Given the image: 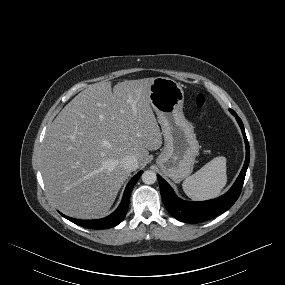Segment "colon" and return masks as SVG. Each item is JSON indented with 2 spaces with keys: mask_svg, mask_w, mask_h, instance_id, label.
I'll use <instances>...</instances> for the list:
<instances>
[{
  "mask_svg": "<svg viewBox=\"0 0 285 285\" xmlns=\"http://www.w3.org/2000/svg\"><path fill=\"white\" fill-rule=\"evenodd\" d=\"M206 104V97L203 94H199L196 97V106L198 108H203Z\"/></svg>",
  "mask_w": 285,
  "mask_h": 285,
  "instance_id": "1",
  "label": "colon"
}]
</instances>
